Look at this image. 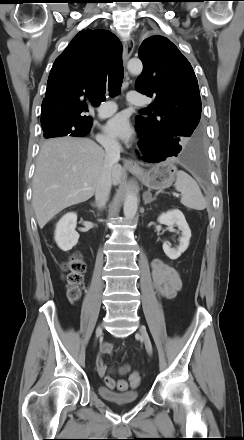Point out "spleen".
<instances>
[{"instance_id": "spleen-1", "label": "spleen", "mask_w": 244, "mask_h": 440, "mask_svg": "<svg viewBox=\"0 0 244 440\" xmlns=\"http://www.w3.org/2000/svg\"><path fill=\"white\" fill-rule=\"evenodd\" d=\"M175 189L181 192V203L195 210H204L207 202L196 181L184 171H178L176 174Z\"/></svg>"}]
</instances>
